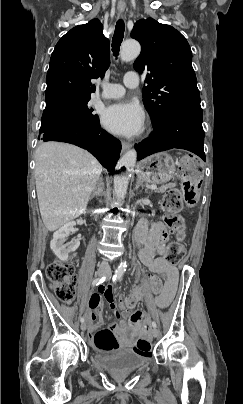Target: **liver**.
Instances as JSON below:
<instances>
[{
	"instance_id": "liver-1",
	"label": "liver",
	"mask_w": 243,
	"mask_h": 404,
	"mask_svg": "<svg viewBox=\"0 0 243 404\" xmlns=\"http://www.w3.org/2000/svg\"><path fill=\"white\" fill-rule=\"evenodd\" d=\"M35 180L43 224L55 232L87 210L102 166L86 150L42 142L35 154Z\"/></svg>"
}]
</instances>
